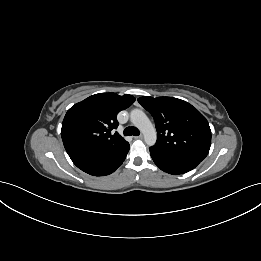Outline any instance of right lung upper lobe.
I'll return each instance as SVG.
<instances>
[{
	"label": "right lung upper lobe",
	"instance_id": "1",
	"mask_svg": "<svg viewBox=\"0 0 261 261\" xmlns=\"http://www.w3.org/2000/svg\"><path fill=\"white\" fill-rule=\"evenodd\" d=\"M135 101L132 95L99 93L72 106L66 113L61 136L67 153L83 149L118 148L128 142L117 132V114Z\"/></svg>",
	"mask_w": 261,
	"mask_h": 261
}]
</instances>
